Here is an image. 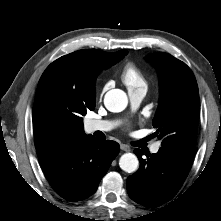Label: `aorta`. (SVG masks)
I'll return each instance as SVG.
<instances>
[{"label":"aorta","mask_w":221,"mask_h":221,"mask_svg":"<svg viewBox=\"0 0 221 221\" xmlns=\"http://www.w3.org/2000/svg\"><path fill=\"white\" fill-rule=\"evenodd\" d=\"M127 104V95L120 89H112L105 94L104 105L111 112H121ZM119 166L123 171L132 173L138 169L139 161L135 154L125 153L119 159Z\"/></svg>","instance_id":"aorta-1"}]
</instances>
